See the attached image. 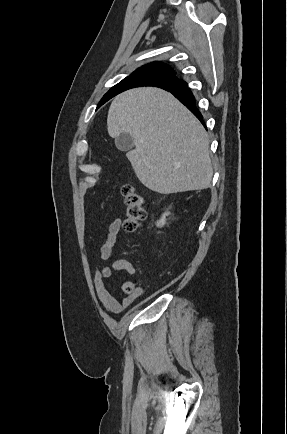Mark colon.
I'll use <instances>...</instances> for the list:
<instances>
[{
    "instance_id": "colon-1",
    "label": "colon",
    "mask_w": 287,
    "mask_h": 434,
    "mask_svg": "<svg viewBox=\"0 0 287 434\" xmlns=\"http://www.w3.org/2000/svg\"><path fill=\"white\" fill-rule=\"evenodd\" d=\"M121 192L125 202V222L124 227L128 232H134L141 227L146 218L144 210V201L142 196L136 191L133 185L124 184L121 187ZM126 292L130 293L134 290V285L131 282H126L123 285Z\"/></svg>"
}]
</instances>
